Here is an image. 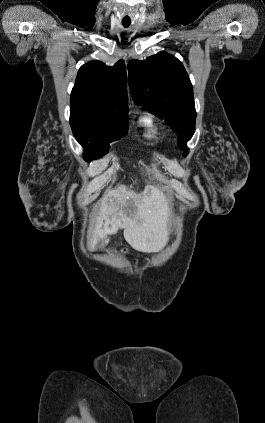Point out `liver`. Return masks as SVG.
<instances>
[{
	"label": "liver",
	"mask_w": 265,
	"mask_h": 423,
	"mask_svg": "<svg viewBox=\"0 0 265 423\" xmlns=\"http://www.w3.org/2000/svg\"><path fill=\"white\" fill-rule=\"evenodd\" d=\"M132 202L137 207L133 217L128 214ZM169 213L168 202L157 189H153L150 196H134L125 186H118L101 198L100 212L88 240V248L93 251L100 239L123 228L124 238L132 248L145 253L159 252L169 240Z\"/></svg>",
	"instance_id": "6515ba94"
}]
</instances>
